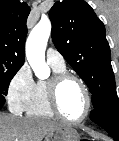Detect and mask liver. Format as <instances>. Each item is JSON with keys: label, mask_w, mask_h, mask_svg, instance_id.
Returning <instances> with one entry per match:
<instances>
[{"label": "liver", "mask_w": 119, "mask_h": 141, "mask_svg": "<svg viewBox=\"0 0 119 141\" xmlns=\"http://www.w3.org/2000/svg\"><path fill=\"white\" fill-rule=\"evenodd\" d=\"M62 127L63 124L48 119L0 114V141H42Z\"/></svg>", "instance_id": "liver-1"}]
</instances>
